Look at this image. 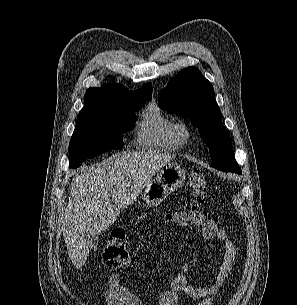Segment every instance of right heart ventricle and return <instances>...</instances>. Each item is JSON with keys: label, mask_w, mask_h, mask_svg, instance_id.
<instances>
[{"label": "right heart ventricle", "mask_w": 297, "mask_h": 305, "mask_svg": "<svg viewBox=\"0 0 297 305\" xmlns=\"http://www.w3.org/2000/svg\"><path fill=\"white\" fill-rule=\"evenodd\" d=\"M174 124L156 104H150L141 115L137 143L146 149L177 150L179 145L173 134Z\"/></svg>", "instance_id": "e07e8e85"}]
</instances>
